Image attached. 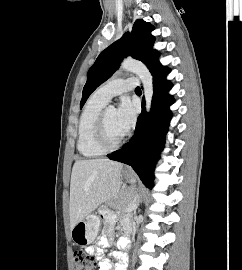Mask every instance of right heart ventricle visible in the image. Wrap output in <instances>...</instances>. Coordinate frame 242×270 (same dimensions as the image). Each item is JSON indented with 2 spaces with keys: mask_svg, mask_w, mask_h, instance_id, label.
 <instances>
[{
  "mask_svg": "<svg viewBox=\"0 0 242 270\" xmlns=\"http://www.w3.org/2000/svg\"><path fill=\"white\" fill-rule=\"evenodd\" d=\"M106 102L94 95L89 99L81 114L78 125L77 149L86 158H94L105 153L95 141V128L98 117L106 106Z\"/></svg>",
  "mask_w": 242,
  "mask_h": 270,
  "instance_id": "obj_1",
  "label": "right heart ventricle"
}]
</instances>
